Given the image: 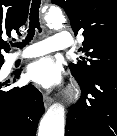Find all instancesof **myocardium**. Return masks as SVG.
Here are the masks:
<instances>
[{
	"instance_id": "1",
	"label": "myocardium",
	"mask_w": 117,
	"mask_h": 136,
	"mask_svg": "<svg viewBox=\"0 0 117 136\" xmlns=\"http://www.w3.org/2000/svg\"><path fill=\"white\" fill-rule=\"evenodd\" d=\"M69 98H72V95H69Z\"/></svg>"
}]
</instances>
